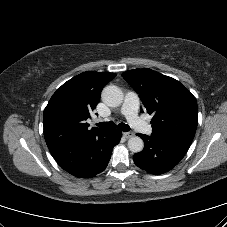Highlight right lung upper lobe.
<instances>
[{"mask_svg": "<svg viewBox=\"0 0 227 227\" xmlns=\"http://www.w3.org/2000/svg\"><path fill=\"white\" fill-rule=\"evenodd\" d=\"M115 76L114 73L84 72L57 89L43 116L48 148L103 131L96 127L89 130L86 120L98 104L103 87Z\"/></svg>", "mask_w": 227, "mask_h": 227, "instance_id": "1", "label": "right lung upper lobe"}]
</instances>
